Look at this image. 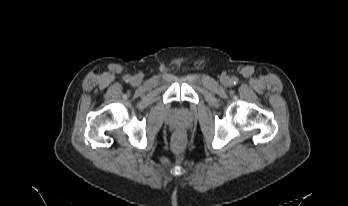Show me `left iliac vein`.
I'll return each mask as SVG.
<instances>
[{"label":"left iliac vein","instance_id":"4c4485c4","mask_svg":"<svg viewBox=\"0 0 348 206\" xmlns=\"http://www.w3.org/2000/svg\"><path fill=\"white\" fill-rule=\"evenodd\" d=\"M221 83H222L224 86H227V85H229V83H230V79H229L228 77L224 76V77L221 78Z\"/></svg>","mask_w":348,"mask_h":206}]
</instances>
